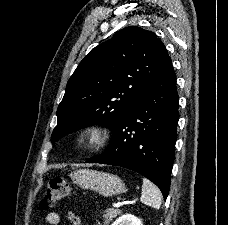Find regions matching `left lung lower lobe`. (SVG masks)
<instances>
[{"instance_id":"obj_1","label":"left lung lower lobe","mask_w":228,"mask_h":225,"mask_svg":"<svg viewBox=\"0 0 228 225\" xmlns=\"http://www.w3.org/2000/svg\"><path fill=\"white\" fill-rule=\"evenodd\" d=\"M178 93L171 60L112 130L106 150L87 160L133 170L156 184L164 199L177 139Z\"/></svg>"}]
</instances>
